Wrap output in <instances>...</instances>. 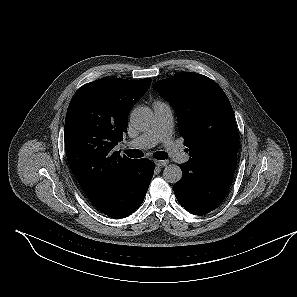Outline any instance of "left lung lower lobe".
I'll list each match as a JSON object with an SVG mask.
<instances>
[{"label":"left lung lower lobe","instance_id":"left-lung-lower-lobe-1","mask_svg":"<svg viewBox=\"0 0 297 297\" xmlns=\"http://www.w3.org/2000/svg\"><path fill=\"white\" fill-rule=\"evenodd\" d=\"M236 163L237 158L231 164L207 169H197L188 162L179 164L183 177L173 188L179 204L194 215L216 209L231 187Z\"/></svg>","mask_w":297,"mask_h":297}]
</instances>
